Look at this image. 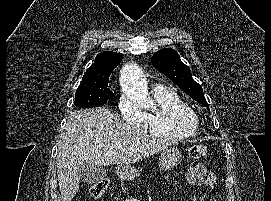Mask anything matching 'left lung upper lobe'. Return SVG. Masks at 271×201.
Listing matches in <instances>:
<instances>
[{
  "mask_svg": "<svg viewBox=\"0 0 271 201\" xmlns=\"http://www.w3.org/2000/svg\"><path fill=\"white\" fill-rule=\"evenodd\" d=\"M152 64L195 101L208 107L201 85L193 80L190 68L180 60L175 50L164 48L154 53Z\"/></svg>",
  "mask_w": 271,
  "mask_h": 201,
  "instance_id": "1",
  "label": "left lung upper lobe"
}]
</instances>
